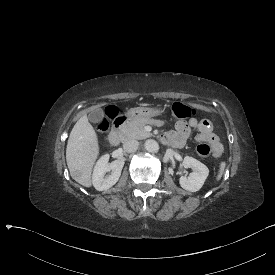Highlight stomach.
<instances>
[{"label":"stomach","instance_id":"0dacf381","mask_svg":"<svg viewBox=\"0 0 275 275\" xmlns=\"http://www.w3.org/2000/svg\"><path fill=\"white\" fill-rule=\"evenodd\" d=\"M164 114V109L162 107H135L130 108L126 115L130 120L139 119H151L154 117L162 116Z\"/></svg>","mask_w":275,"mask_h":275}]
</instances>
